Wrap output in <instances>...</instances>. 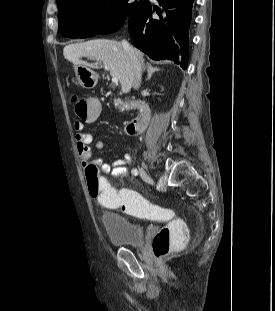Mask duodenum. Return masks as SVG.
Here are the masks:
<instances>
[{
    "instance_id": "duodenum-1",
    "label": "duodenum",
    "mask_w": 275,
    "mask_h": 311,
    "mask_svg": "<svg viewBox=\"0 0 275 311\" xmlns=\"http://www.w3.org/2000/svg\"><path fill=\"white\" fill-rule=\"evenodd\" d=\"M122 107L135 108L138 115L125 125V130L129 135H136L143 132L150 118L149 105L141 101H123Z\"/></svg>"
}]
</instances>
